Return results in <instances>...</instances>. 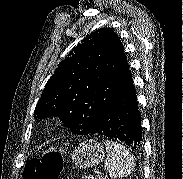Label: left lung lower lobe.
<instances>
[{
  "label": "left lung lower lobe",
  "instance_id": "left-lung-lower-lobe-1",
  "mask_svg": "<svg viewBox=\"0 0 183 179\" xmlns=\"http://www.w3.org/2000/svg\"><path fill=\"white\" fill-rule=\"evenodd\" d=\"M90 134L122 141L133 150L140 149L141 118L135 87L125 59L112 104Z\"/></svg>",
  "mask_w": 183,
  "mask_h": 179
}]
</instances>
